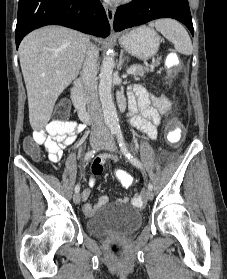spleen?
I'll use <instances>...</instances> for the list:
<instances>
[{"instance_id": "1", "label": "spleen", "mask_w": 227, "mask_h": 279, "mask_svg": "<svg viewBox=\"0 0 227 279\" xmlns=\"http://www.w3.org/2000/svg\"><path fill=\"white\" fill-rule=\"evenodd\" d=\"M174 44L175 49L185 55L192 53V42L185 28L172 19H159L149 24Z\"/></svg>"}]
</instances>
